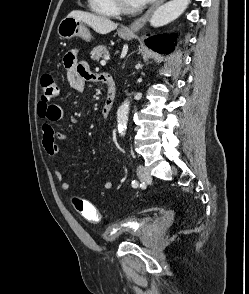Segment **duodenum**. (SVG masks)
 <instances>
[{
  "mask_svg": "<svg viewBox=\"0 0 249 294\" xmlns=\"http://www.w3.org/2000/svg\"><path fill=\"white\" fill-rule=\"evenodd\" d=\"M98 81L106 86V97L101 109V117L107 119L114 107L116 99V85L110 74L102 73L98 76Z\"/></svg>",
  "mask_w": 249,
  "mask_h": 294,
  "instance_id": "410a0bca",
  "label": "duodenum"
}]
</instances>
